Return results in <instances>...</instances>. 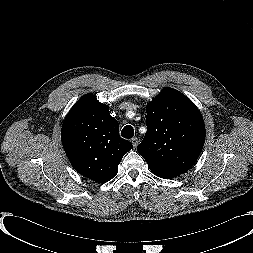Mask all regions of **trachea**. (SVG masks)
Segmentation results:
<instances>
[{
  "instance_id": "obj_1",
  "label": "trachea",
  "mask_w": 253,
  "mask_h": 253,
  "mask_svg": "<svg viewBox=\"0 0 253 253\" xmlns=\"http://www.w3.org/2000/svg\"><path fill=\"white\" fill-rule=\"evenodd\" d=\"M121 136L126 139H130L134 136V129L132 126L127 125L121 131Z\"/></svg>"
}]
</instances>
